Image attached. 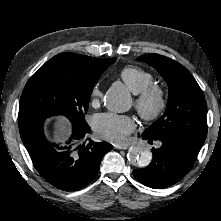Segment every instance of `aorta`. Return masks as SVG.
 Here are the masks:
<instances>
[{"label":"aorta","mask_w":221,"mask_h":221,"mask_svg":"<svg viewBox=\"0 0 221 221\" xmlns=\"http://www.w3.org/2000/svg\"><path fill=\"white\" fill-rule=\"evenodd\" d=\"M104 103L112 112H125L131 106V96L124 86H112L105 94ZM127 159L133 166L144 168L152 161V153L147 148L132 146L128 150Z\"/></svg>","instance_id":"aorta-1"}]
</instances>
